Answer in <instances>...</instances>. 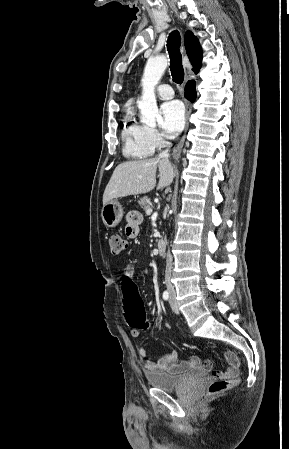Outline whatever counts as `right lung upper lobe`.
Segmentation results:
<instances>
[{
  "instance_id": "obj_1",
  "label": "right lung upper lobe",
  "mask_w": 289,
  "mask_h": 449,
  "mask_svg": "<svg viewBox=\"0 0 289 449\" xmlns=\"http://www.w3.org/2000/svg\"><path fill=\"white\" fill-rule=\"evenodd\" d=\"M185 48L193 71L197 73L202 65V51L197 37L190 31L185 34Z\"/></svg>"
}]
</instances>
